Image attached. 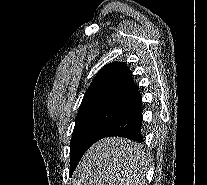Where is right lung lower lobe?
<instances>
[{"mask_svg":"<svg viewBox=\"0 0 207 185\" xmlns=\"http://www.w3.org/2000/svg\"><path fill=\"white\" fill-rule=\"evenodd\" d=\"M141 125L142 99L139 98L130 108L123 112L120 118L107 129L100 139L108 136H119L133 141H143L140 133Z\"/></svg>","mask_w":207,"mask_h":185,"instance_id":"right-lung-lower-lobe-1","label":"right lung lower lobe"}]
</instances>
